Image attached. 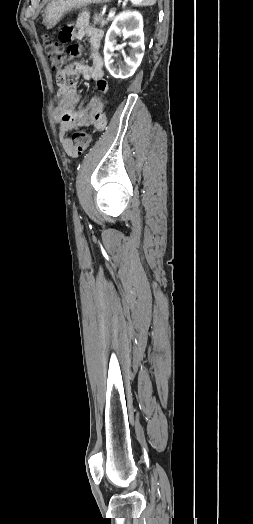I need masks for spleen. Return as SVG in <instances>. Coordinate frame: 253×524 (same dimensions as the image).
Listing matches in <instances>:
<instances>
[{
    "label": "spleen",
    "mask_w": 253,
    "mask_h": 524,
    "mask_svg": "<svg viewBox=\"0 0 253 524\" xmlns=\"http://www.w3.org/2000/svg\"><path fill=\"white\" fill-rule=\"evenodd\" d=\"M133 5L136 6H152L156 3V0H130Z\"/></svg>",
    "instance_id": "obj_1"
}]
</instances>
